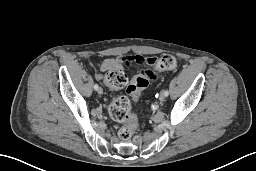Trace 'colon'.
I'll use <instances>...</instances> for the list:
<instances>
[{
    "label": "colon",
    "instance_id": "obj_1",
    "mask_svg": "<svg viewBox=\"0 0 256 171\" xmlns=\"http://www.w3.org/2000/svg\"><path fill=\"white\" fill-rule=\"evenodd\" d=\"M176 66V58L173 55L165 54L154 58L152 67L155 71H169ZM106 85L114 90L123 88L127 83V76L123 70L113 69L105 75ZM148 80L143 75L135 76L127 86V93L137 100L141 92L147 87ZM108 112L110 117L123 126L119 130V137L122 140H130L137 129V117L131 111V102L127 96H116L109 104Z\"/></svg>",
    "mask_w": 256,
    "mask_h": 171
}]
</instances>
